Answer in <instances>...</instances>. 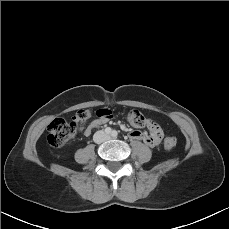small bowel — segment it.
I'll list each match as a JSON object with an SVG mask.
<instances>
[{"label":"small bowel","instance_id":"1","mask_svg":"<svg viewBox=\"0 0 229 229\" xmlns=\"http://www.w3.org/2000/svg\"><path fill=\"white\" fill-rule=\"evenodd\" d=\"M107 121H109V116L100 115L85 129L84 134L89 135L94 128L99 127ZM146 126L149 130V134H145L140 131H132L129 133V137L134 140H141L146 145L151 147L159 145V143L161 142L162 134L161 127L154 120L151 119H148V123Z\"/></svg>","mask_w":229,"mask_h":229}]
</instances>
